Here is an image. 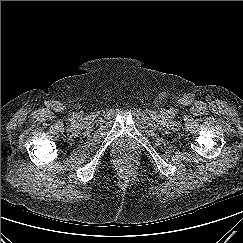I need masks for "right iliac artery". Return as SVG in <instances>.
<instances>
[{"label": "right iliac artery", "instance_id": "82829eb1", "mask_svg": "<svg viewBox=\"0 0 243 243\" xmlns=\"http://www.w3.org/2000/svg\"><path fill=\"white\" fill-rule=\"evenodd\" d=\"M70 117H74V113H70Z\"/></svg>", "mask_w": 243, "mask_h": 243}]
</instances>
